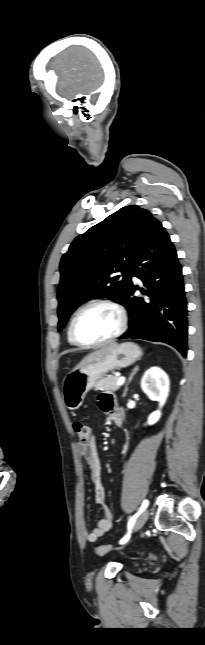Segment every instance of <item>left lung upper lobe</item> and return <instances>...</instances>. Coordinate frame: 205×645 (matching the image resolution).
I'll use <instances>...</instances> for the list:
<instances>
[{"instance_id": "obj_1", "label": "left lung upper lobe", "mask_w": 205, "mask_h": 645, "mask_svg": "<svg viewBox=\"0 0 205 645\" xmlns=\"http://www.w3.org/2000/svg\"><path fill=\"white\" fill-rule=\"evenodd\" d=\"M153 219L148 210L129 205L72 242L60 262L59 331L72 312L90 299L109 296L123 303L136 248ZM117 272H122V279L115 276Z\"/></svg>"}]
</instances>
